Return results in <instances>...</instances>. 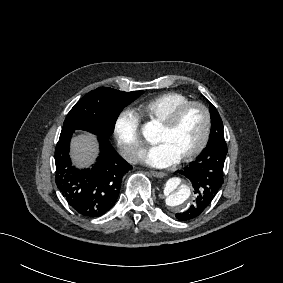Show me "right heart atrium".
<instances>
[{
	"label": "right heart atrium",
	"instance_id": "obj_1",
	"mask_svg": "<svg viewBox=\"0 0 283 283\" xmlns=\"http://www.w3.org/2000/svg\"><path fill=\"white\" fill-rule=\"evenodd\" d=\"M140 122L133 110L125 108L115 118L112 134L121 155L133 162L142 145L139 135Z\"/></svg>",
	"mask_w": 283,
	"mask_h": 283
}]
</instances>
